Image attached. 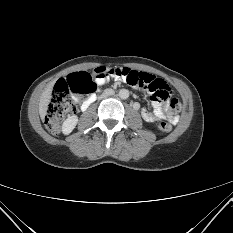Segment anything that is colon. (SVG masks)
Masks as SVG:
<instances>
[{"label":"colon","instance_id":"colon-1","mask_svg":"<svg viewBox=\"0 0 233 233\" xmlns=\"http://www.w3.org/2000/svg\"><path fill=\"white\" fill-rule=\"evenodd\" d=\"M94 73L96 77L111 76L119 78L130 86L149 91L154 98L168 102L171 114H175L180 110V104L172 97L168 84L147 73L117 67H100L95 69ZM95 87L96 83L92 80L91 75L86 72H76L70 74L66 79L59 80L54 87L44 119L47 130L51 134H59L64 116L75 110V104L71 96L83 97L89 95L95 90ZM158 128L164 132H169L172 130V125L167 122H160Z\"/></svg>","mask_w":233,"mask_h":233}]
</instances>
